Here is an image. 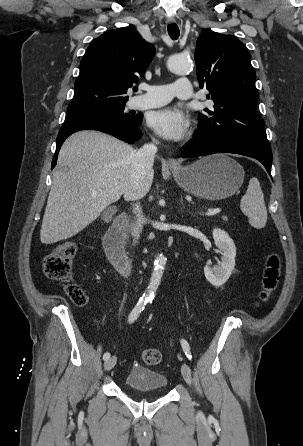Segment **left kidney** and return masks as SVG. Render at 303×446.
I'll use <instances>...</instances> for the list:
<instances>
[{
	"label": "left kidney",
	"mask_w": 303,
	"mask_h": 446,
	"mask_svg": "<svg viewBox=\"0 0 303 446\" xmlns=\"http://www.w3.org/2000/svg\"><path fill=\"white\" fill-rule=\"evenodd\" d=\"M213 239L218 251L221 253V262L219 265L211 267L207 263L204 267L206 279L214 286H222L231 276L235 267L236 247L229 235L221 229H214Z\"/></svg>",
	"instance_id": "5707ae66"
}]
</instances>
